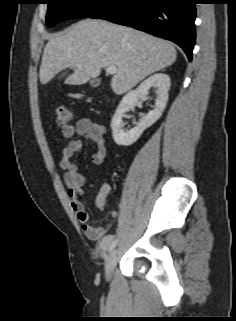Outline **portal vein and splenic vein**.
<instances>
[{"instance_id": "obj_1", "label": "portal vein and splenic vein", "mask_w": 236, "mask_h": 321, "mask_svg": "<svg viewBox=\"0 0 236 321\" xmlns=\"http://www.w3.org/2000/svg\"><path fill=\"white\" fill-rule=\"evenodd\" d=\"M106 72L108 74L114 75L117 72V67L112 65V66H108L106 69Z\"/></svg>"}]
</instances>
